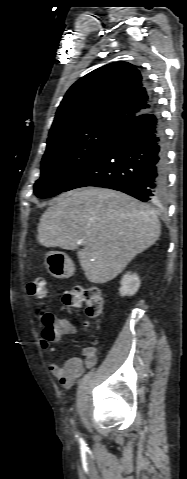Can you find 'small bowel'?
I'll use <instances>...</instances> for the list:
<instances>
[{
    "instance_id": "small-bowel-1",
    "label": "small bowel",
    "mask_w": 187,
    "mask_h": 479,
    "mask_svg": "<svg viewBox=\"0 0 187 479\" xmlns=\"http://www.w3.org/2000/svg\"><path fill=\"white\" fill-rule=\"evenodd\" d=\"M58 321L65 327V334H68L71 330V324L67 319L59 318ZM55 340H48L44 337L40 340V347L47 351L49 355H53L55 348L52 346V342ZM83 359L81 357H71L64 363L59 364L51 362L49 370L51 374L61 383V385L70 389L75 381L80 378L86 369H91L97 362L96 349L91 346L84 347L82 349Z\"/></svg>"
}]
</instances>
